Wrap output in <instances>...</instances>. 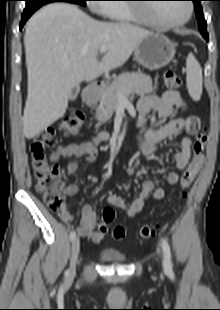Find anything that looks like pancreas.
<instances>
[{
	"label": "pancreas",
	"mask_w": 220,
	"mask_h": 310,
	"mask_svg": "<svg viewBox=\"0 0 220 310\" xmlns=\"http://www.w3.org/2000/svg\"><path fill=\"white\" fill-rule=\"evenodd\" d=\"M154 91L150 76L142 73H124L104 90L101 97V104L96 109L95 118L100 122H107L112 113L116 110L119 102V93L124 97L133 94L144 95Z\"/></svg>",
	"instance_id": "obj_1"
}]
</instances>
